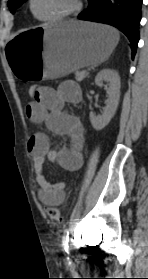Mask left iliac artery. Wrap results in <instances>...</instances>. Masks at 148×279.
<instances>
[{
    "instance_id": "left-iliac-artery-1",
    "label": "left iliac artery",
    "mask_w": 148,
    "mask_h": 279,
    "mask_svg": "<svg viewBox=\"0 0 148 279\" xmlns=\"http://www.w3.org/2000/svg\"><path fill=\"white\" fill-rule=\"evenodd\" d=\"M69 242V229H65L64 235L62 237V246L64 250L67 252Z\"/></svg>"
}]
</instances>
